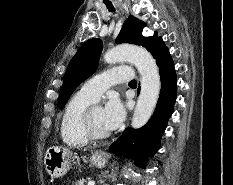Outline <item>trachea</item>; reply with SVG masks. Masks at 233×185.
Returning a JSON list of instances; mask_svg holds the SVG:
<instances>
[{
  "label": "trachea",
  "instance_id": "obj_1",
  "mask_svg": "<svg viewBox=\"0 0 233 185\" xmlns=\"http://www.w3.org/2000/svg\"><path fill=\"white\" fill-rule=\"evenodd\" d=\"M110 12H114L115 9L111 3H105ZM129 84H137L136 80H131Z\"/></svg>",
  "mask_w": 233,
  "mask_h": 185
}]
</instances>
